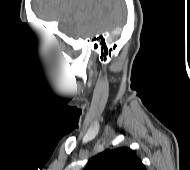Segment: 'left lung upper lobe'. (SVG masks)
<instances>
[{"label":"left lung upper lobe","instance_id":"obj_1","mask_svg":"<svg viewBox=\"0 0 190 170\" xmlns=\"http://www.w3.org/2000/svg\"><path fill=\"white\" fill-rule=\"evenodd\" d=\"M84 170H146V168L134 150L120 147L96 155Z\"/></svg>","mask_w":190,"mask_h":170}]
</instances>
